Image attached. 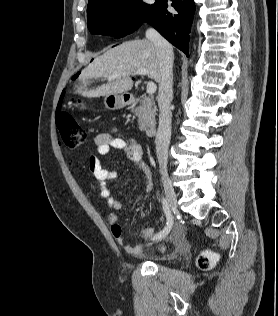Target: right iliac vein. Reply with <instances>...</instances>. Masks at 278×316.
I'll use <instances>...</instances> for the list:
<instances>
[{"label":"right iliac vein","instance_id":"obj_1","mask_svg":"<svg viewBox=\"0 0 278 316\" xmlns=\"http://www.w3.org/2000/svg\"><path fill=\"white\" fill-rule=\"evenodd\" d=\"M163 186L166 194L168 206L174 210L177 207V196L172 186L171 180L167 175L162 176Z\"/></svg>","mask_w":278,"mask_h":316}]
</instances>
